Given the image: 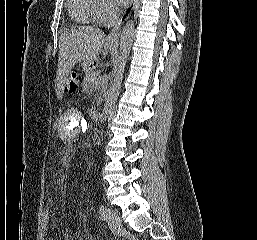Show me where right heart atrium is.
<instances>
[{
    "label": "right heart atrium",
    "mask_w": 257,
    "mask_h": 240,
    "mask_svg": "<svg viewBox=\"0 0 257 240\" xmlns=\"http://www.w3.org/2000/svg\"><path fill=\"white\" fill-rule=\"evenodd\" d=\"M115 7L109 0H96L94 9V20L97 23H104L115 15Z\"/></svg>",
    "instance_id": "d8ad5b80"
}]
</instances>
